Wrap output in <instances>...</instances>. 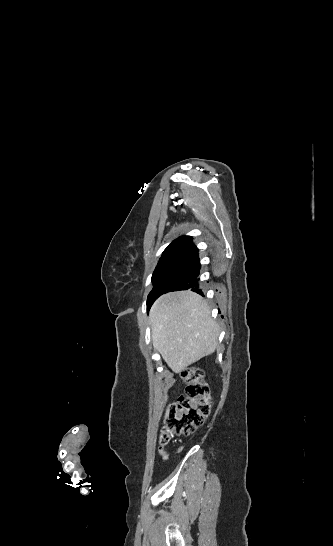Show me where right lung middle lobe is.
<instances>
[{
	"label": "right lung middle lobe",
	"mask_w": 333,
	"mask_h": 546,
	"mask_svg": "<svg viewBox=\"0 0 333 546\" xmlns=\"http://www.w3.org/2000/svg\"><path fill=\"white\" fill-rule=\"evenodd\" d=\"M186 252L184 251H166L163 252L155 271L152 275V283H153V289L148 295V301L152 300L155 296L157 285L160 280V278L164 275V273L171 268L176 262H178Z\"/></svg>",
	"instance_id": "right-lung-middle-lobe-1"
}]
</instances>
